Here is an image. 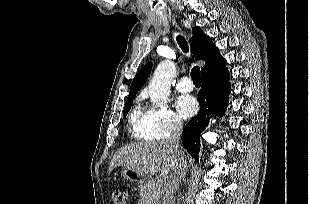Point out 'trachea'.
<instances>
[{
  "mask_svg": "<svg viewBox=\"0 0 309 204\" xmlns=\"http://www.w3.org/2000/svg\"><path fill=\"white\" fill-rule=\"evenodd\" d=\"M177 42L184 52H188V44L182 36H177ZM191 78L196 85H201V76L199 66H195L191 70Z\"/></svg>",
  "mask_w": 309,
  "mask_h": 204,
  "instance_id": "1",
  "label": "trachea"
}]
</instances>
